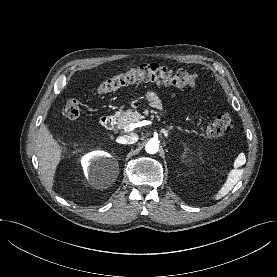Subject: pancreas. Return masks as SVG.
I'll return each mask as SVG.
<instances>
[{"instance_id":"obj_1","label":"pancreas","mask_w":277,"mask_h":277,"mask_svg":"<svg viewBox=\"0 0 277 277\" xmlns=\"http://www.w3.org/2000/svg\"><path fill=\"white\" fill-rule=\"evenodd\" d=\"M151 114V118H154V115L160 120V116L158 115L157 111L151 110L149 111L146 109L144 111V115L148 116ZM144 116H142L137 110H127L126 112H123L120 114L118 120H117V127L118 129H124L128 130V125L132 123H137L140 120H142Z\"/></svg>"}]
</instances>
